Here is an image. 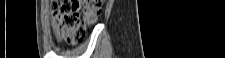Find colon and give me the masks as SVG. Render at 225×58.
I'll list each match as a JSON object with an SVG mask.
<instances>
[{"mask_svg":"<svg viewBox=\"0 0 225 58\" xmlns=\"http://www.w3.org/2000/svg\"><path fill=\"white\" fill-rule=\"evenodd\" d=\"M101 10L102 2L97 0L52 1V26L56 37L69 44L79 42L86 32V25L93 23Z\"/></svg>","mask_w":225,"mask_h":58,"instance_id":"1","label":"colon"}]
</instances>
